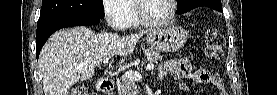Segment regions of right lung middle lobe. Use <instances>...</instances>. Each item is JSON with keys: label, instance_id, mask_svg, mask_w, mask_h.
<instances>
[{"label": "right lung middle lobe", "instance_id": "obj_1", "mask_svg": "<svg viewBox=\"0 0 277 95\" xmlns=\"http://www.w3.org/2000/svg\"><path fill=\"white\" fill-rule=\"evenodd\" d=\"M104 18L102 0H42L37 25L61 20Z\"/></svg>", "mask_w": 277, "mask_h": 95}]
</instances>
